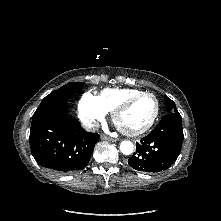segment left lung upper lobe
I'll list each match as a JSON object with an SVG mask.
<instances>
[{
  "label": "left lung upper lobe",
  "mask_w": 221,
  "mask_h": 221,
  "mask_svg": "<svg viewBox=\"0 0 221 221\" xmlns=\"http://www.w3.org/2000/svg\"><path fill=\"white\" fill-rule=\"evenodd\" d=\"M165 100H166L167 110L169 111V113L178 112L177 109H176L174 101H172L167 96H165Z\"/></svg>",
  "instance_id": "1"
}]
</instances>
